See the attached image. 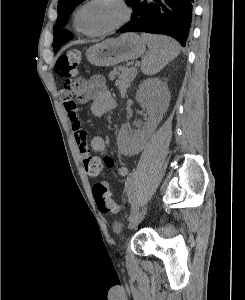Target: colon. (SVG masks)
<instances>
[{
	"mask_svg": "<svg viewBox=\"0 0 245 300\" xmlns=\"http://www.w3.org/2000/svg\"><path fill=\"white\" fill-rule=\"evenodd\" d=\"M81 55L78 50H70L61 54L55 64L57 75L64 80L63 98H71L82 89L77 80ZM96 205L102 213H114L118 210L117 204L111 199L109 190H92Z\"/></svg>",
	"mask_w": 245,
	"mask_h": 300,
	"instance_id": "1",
	"label": "colon"
}]
</instances>
